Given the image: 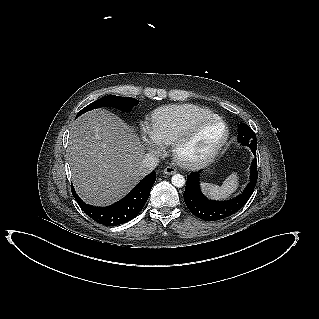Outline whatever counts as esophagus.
<instances>
[{
	"label": "esophagus",
	"instance_id": "1",
	"mask_svg": "<svg viewBox=\"0 0 319 319\" xmlns=\"http://www.w3.org/2000/svg\"><path fill=\"white\" fill-rule=\"evenodd\" d=\"M164 173L167 174V175H172V174L176 173V169L174 167H172V166H167L164 169Z\"/></svg>",
	"mask_w": 319,
	"mask_h": 319
}]
</instances>
